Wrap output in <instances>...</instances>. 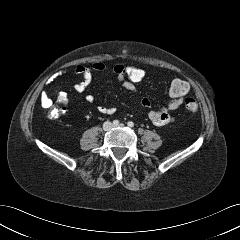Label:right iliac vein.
<instances>
[{"instance_id": "right-iliac-vein-1", "label": "right iliac vein", "mask_w": 240, "mask_h": 240, "mask_svg": "<svg viewBox=\"0 0 240 240\" xmlns=\"http://www.w3.org/2000/svg\"><path fill=\"white\" fill-rule=\"evenodd\" d=\"M111 128H112V123L111 122H105L103 124L104 131H109Z\"/></svg>"}]
</instances>
